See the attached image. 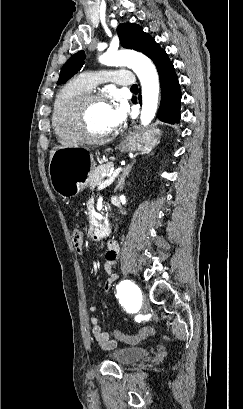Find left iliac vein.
Instances as JSON below:
<instances>
[{"label":"left iliac vein","mask_w":243,"mask_h":409,"mask_svg":"<svg viewBox=\"0 0 243 409\" xmlns=\"http://www.w3.org/2000/svg\"><path fill=\"white\" fill-rule=\"evenodd\" d=\"M142 308L144 311L148 310V301L145 296L143 297V307Z\"/></svg>","instance_id":"obj_1"}]
</instances>
